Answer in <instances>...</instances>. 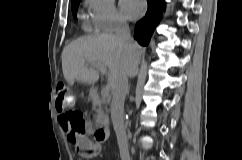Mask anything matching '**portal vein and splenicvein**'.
Segmentation results:
<instances>
[{"label": "portal vein and splenic vein", "mask_w": 242, "mask_h": 160, "mask_svg": "<svg viewBox=\"0 0 242 160\" xmlns=\"http://www.w3.org/2000/svg\"><path fill=\"white\" fill-rule=\"evenodd\" d=\"M94 68H96L98 71H100L103 75L106 74V67L105 66H102V65H94L93 66ZM109 90H110V86H105L102 91H101V94L103 96H107L108 93H109Z\"/></svg>", "instance_id": "portal-vein-and-splenic-vein-1"}]
</instances>
